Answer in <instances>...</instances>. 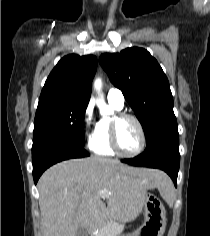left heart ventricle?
Instances as JSON below:
<instances>
[{
  "label": "left heart ventricle",
  "instance_id": "b2bd125f",
  "mask_svg": "<svg viewBox=\"0 0 210 236\" xmlns=\"http://www.w3.org/2000/svg\"><path fill=\"white\" fill-rule=\"evenodd\" d=\"M118 143L123 152L132 153L140 145V132L137 124L131 119H124L118 126Z\"/></svg>",
  "mask_w": 210,
  "mask_h": 236
}]
</instances>
